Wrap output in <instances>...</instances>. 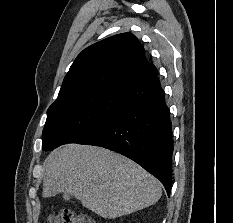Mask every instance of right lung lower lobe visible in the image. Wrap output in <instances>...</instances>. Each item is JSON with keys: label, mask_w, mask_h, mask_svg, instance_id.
Masks as SVG:
<instances>
[{"label": "right lung lower lobe", "mask_w": 233, "mask_h": 223, "mask_svg": "<svg viewBox=\"0 0 233 223\" xmlns=\"http://www.w3.org/2000/svg\"><path fill=\"white\" fill-rule=\"evenodd\" d=\"M121 102V110L111 120L78 143L101 146L132 159L159 179L169 196L172 126L157 75L123 89Z\"/></svg>", "instance_id": "98d812e1"}]
</instances>
